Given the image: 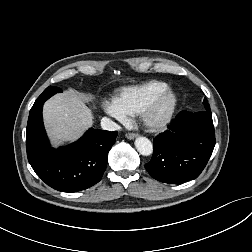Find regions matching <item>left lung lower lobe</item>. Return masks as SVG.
Instances as JSON below:
<instances>
[{"label":"left lung lower lobe","instance_id":"left-lung-lower-lobe-1","mask_svg":"<svg viewBox=\"0 0 252 252\" xmlns=\"http://www.w3.org/2000/svg\"><path fill=\"white\" fill-rule=\"evenodd\" d=\"M215 146L211 111H181L168 130L154 139L146 170L156 180L179 184L197 178Z\"/></svg>","mask_w":252,"mask_h":252}]
</instances>
